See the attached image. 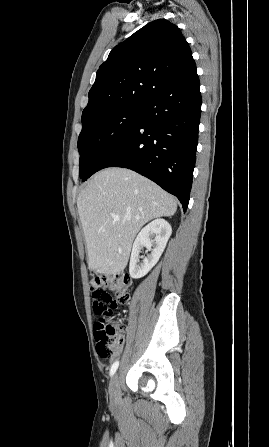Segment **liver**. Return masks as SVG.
<instances>
[{"instance_id":"6515ba94","label":"liver","mask_w":269,"mask_h":447,"mask_svg":"<svg viewBox=\"0 0 269 447\" xmlns=\"http://www.w3.org/2000/svg\"><path fill=\"white\" fill-rule=\"evenodd\" d=\"M88 265L98 273H121L127 265L132 241L154 218L174 216L177 202L154 182L125 168L98 172L77 198ZM112 216H120L114 222Z\"/></svg>"}]
</instances>
